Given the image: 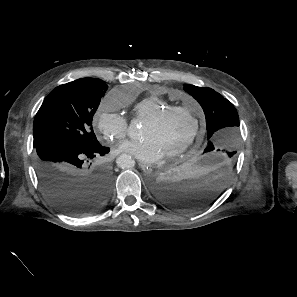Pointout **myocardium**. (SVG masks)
<instances>
[{"mask_svg":"<svg viewBox=\"0 0 297 297\" xmlns=\"http://www.w3.org/2000/svg\"><path fill=\"white\" fill-rule=\"evenodd\" d=\"M174 113H185L189 115L193 121V129L190 136L182 145L164 154V157L166 159L176 158L181 154H183L184 152H186L197 140L201 130L200 121H199L197 112L194 109H191L189 107H184V106H171V107L164 108L158 113H156L155 115L146 119L145 122L150 124H155L162 121L168 115H171Z\"/></svg>","mask_w":297,"mask_h":297,"instance_id":"obj_1","label":"myocardium"}]
</instances>
